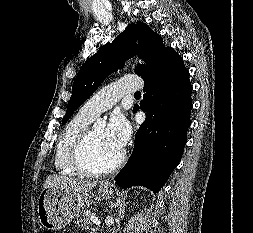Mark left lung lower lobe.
<instances>
[{
	"instance_id": "left-lung-lower-lobe-1",
	"label": "left lung lower lobe",
	"mask_w": 253,
	"mask_h": 233,
	"mask_svg": "<svg viewBox=\"0 0 253 233\" xmlns=\"http://www.w3.org/2000/svg\"><path fill=\"white\" fill-rule=\"evenodd\" d=\"M141 109L146 121L135 136L133 152L114 178L122 188L140 185L157 193L179 164L186 143L192 109V86L183 59L171 47L141 76Z\"/></svg>"
}]
</instances>
